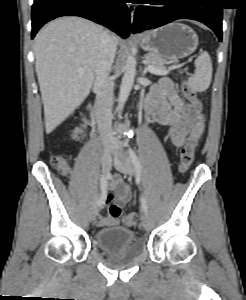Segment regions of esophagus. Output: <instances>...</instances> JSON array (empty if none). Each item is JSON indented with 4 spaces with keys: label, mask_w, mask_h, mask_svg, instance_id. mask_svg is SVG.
<instances>
[{
    "label": "esophagus",
    "mask_w": 246,
    "mask_h": 300,
    "mask_svg": "<svg viewBox=\"0 0 246 300\" xmlns=\"http://www.w3.org/2000/svg\"><path fill=\"white\" fill-rule=\"evenodd\" d=\"M128 8L130 10V16H131V24L133 22V16H134V12H135V6L132 5V3H130V5H128Z\"/></svg>",
    "instance_id": "obj_1"
}]
</instances>
